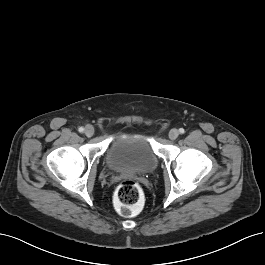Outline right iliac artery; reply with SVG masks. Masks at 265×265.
<instances>
[{
    "label": "right iliac artery",
    "mask_w": 265,
    "mask_h": 265,
    "mask_svg": "<svg viewBox=\"0 0 265 265\" xmlns=\"http://www.w3.org/2000/svg\"><path fill=\"white\" fill-rule=\"evenodd\" d=\"M78 131L82 133V132L84 131V128H83V127H80V128L78 129Z\"/></svg>",
    "instance_id": "right-iliac-artery-1"
}]
</instances>
